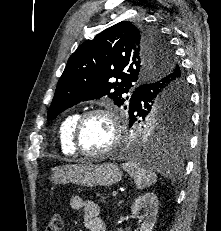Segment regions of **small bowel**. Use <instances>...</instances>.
<instances>
[{"mask_svg":"<svg viewBox=\"0 0 221 231\" xmlns=\"http://www.w3.org/2000/svg\"><path fill=\"white\" fill-rule=\"evenodd\" d=\"M70 206L74 210L83 209L84 226L87 231H107L105 221L100 217V209L97 203L83 200L80 196L70 198Z\"/></svg>","mask_w":221,"mask_h":231,"instance_id":"1","label":"small bowel"}]
</instances>
